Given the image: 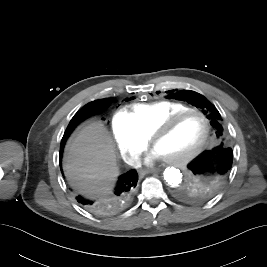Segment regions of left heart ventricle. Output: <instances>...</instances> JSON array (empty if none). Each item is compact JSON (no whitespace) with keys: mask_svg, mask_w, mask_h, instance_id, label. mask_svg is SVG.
Instances as JSON below:
<instances>
[{"mask_svg":"<svg viewBox=\"0 0 267 267\" xmlns=\"http://www.w3.org/2000/svg\"><path fill=\"white\" fill-rule=\"evenodd\" d=\"M205 126L202 118L191 114L177 122L161 136L154 147L164 158L184 155L193 150L202 140Z\"/></svg>","mask_w":267,"mask_h":267,"instance_id":"obj_1","label":"left heart ventricle"}]
</instances>
